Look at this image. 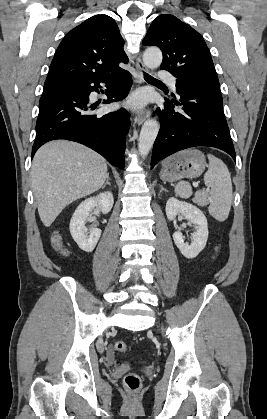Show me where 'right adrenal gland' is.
<instances>
[{
  "instance_id": "obj_1",
  "label": "right adrenal gland",
  "mask_w": 267,
  "mask_h": 419,
  "mask_svg": "<svg viewBox=\"0 0 267 419\" xmlns=\"http://www.w3.org/2000/svg\"><path fill=\"white\" fill-rule=\"evenodd\" d=\"M109 180H110V178H109V174H108L107 179H106V182L103 184L102 189H103V188H105V186H106L107 184H108V185H110Z\"/></svg>"
}]
</instances>
